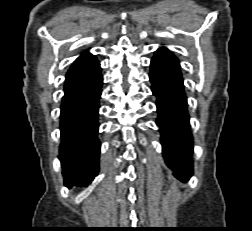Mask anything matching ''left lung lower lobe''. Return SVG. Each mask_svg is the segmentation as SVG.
<instances>
[{
  "label": "left lung lower lobe",
  "mask_w": 252,
  "mask_h": 231,
  "mask_svg": "<svg viewBox=\"0 0 252 231\" xmlns=\"http://www.w3.org/2000/svg\"><path fill=\"white\" fill-rule=\"evenodd\" d=\"M150 67L152 92L157 97L156 124L160 128L165 162L176 178L188 180L193 173V141L179 61L163 47L155 52Z\"/></svg>",
  "instance_id": "1"
}]
</instances>
